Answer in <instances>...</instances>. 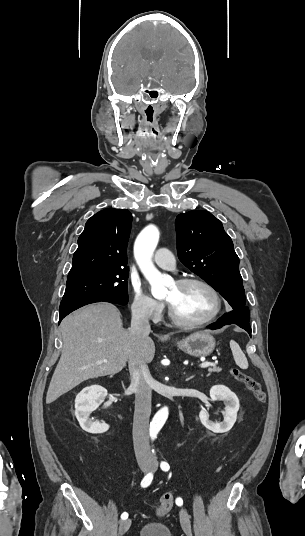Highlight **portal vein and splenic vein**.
<instances>
[{
    "mask_svg": "<svg viewBox=\"0 0 305 536\" xmlns=\"http://www.w3.org/2000/svg\"><path fill=\"white\" fill-rule=\"evenodd\" d=\"M103 362H108V360H100L97 364H103ZM209 366H212L210 362H203V364H200V368H209Z\"/></svg>",
    "mask_w": 305,
    "mask_h": 536,
    "instance_id": "1",
    "label": "portal vein and splenic vein"
}]
</instances>
